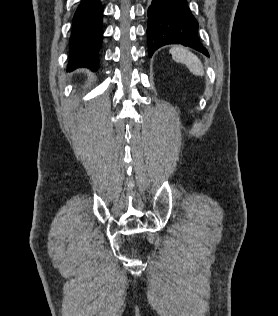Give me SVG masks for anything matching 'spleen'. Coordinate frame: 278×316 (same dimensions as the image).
<instances>
[{
  "mask_svg": "<svg viewBox=\"0 0 278 316\" xmlns=\"http://www.w3.org/2000/svg\"><path fill=\"white\" fill-rule=\"evenodd\" d=\"M174 61L185 64L194 75H204V69L201 61L196 55L191 53L183 46H175L170 49Z\"/></svg>",
  "mask_w": 278,
  "mask_h": 316,
  "instance_id": "obj_1",
  "label": "spleen"
}]
</instances>
